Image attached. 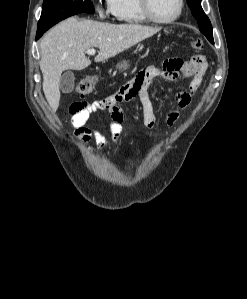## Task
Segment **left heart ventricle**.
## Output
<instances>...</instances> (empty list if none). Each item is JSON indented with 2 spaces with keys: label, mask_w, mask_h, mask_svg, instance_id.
Segmentation results:
<instances>
[{
  "label": "left heart ventricle",
  "mask_w": 247,
  "mask_h": 299,
  "mask_svg": "<svg viewBox=\"0 0 247 299\" xmlns=\"http://www.w3.org/2000/svg\"><path fill=\"white\" fill-rule=\"evenodd\" d=\"M153 14L160 19L173 17L178 10V0H150Z\"/></svg>",
  "instance_id": "1"
}]
</instances>
